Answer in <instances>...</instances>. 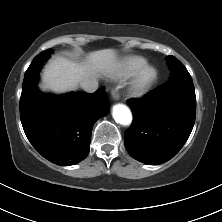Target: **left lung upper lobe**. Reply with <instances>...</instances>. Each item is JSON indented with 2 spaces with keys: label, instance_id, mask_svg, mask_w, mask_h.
<instances>
[{
  "label": "left lung upper lobe",
  "instance_id": "1",
  "mask_svg": "<svg viewBox=\"0 0 222 222\" xmlns=\"http://www.w3.org/2000/svg\"><path fill=\"white\" fill-rule=\"evenodd\" d=\"M167 64L171 70V79L177 78L183 75H190L187 69L182 65V63L176 59L174 56L167 57Z\"/></svg>",
  "mask_w": 222,
  "mask_h": 222
}]
</instances>
